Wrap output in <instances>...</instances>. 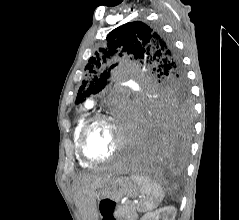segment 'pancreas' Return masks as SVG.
Listing matches in <instances>:
<instances>
[{
	"label": "pancreas",
	"mask_w": 239,
	"mask_h": 220,
	"mask_svg": "<svg viewBox=\"0 0 239 220\" xmlns=\"http://www.w3.org/2000/svg\"><path fill=\"white\" fill-rule=\"evenodd\" d=\"M115 215L122 220H137V207L130 203L118 205L115 210Z\"/></svg>",
	"instance_id": "cf45deb5"
}]
</instances>
